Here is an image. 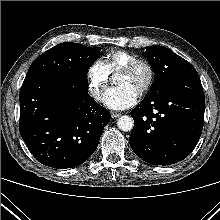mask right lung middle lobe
Wrapping results in <instances>:
<instances>
[{
	"mask_svg": "<svg viewBox=\"0 0 220 220\" xmlns=\"http://www.w3.org/2000/svg\"><path fill=\"white\" fill-rule=\"evenodd\" d=\"M100 47L89 48L72 42L60 43L38 56L27 75L34 74H84L99 58Z\"/></svg>",
	"mask_w": 220,
	"mask_h": 220,
	"instance_id": "1",
	"label": "right lung middle lobe"
}]
</instances>
